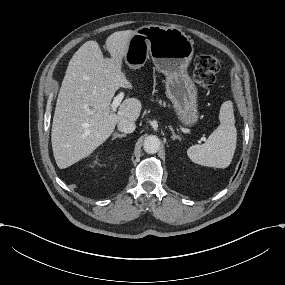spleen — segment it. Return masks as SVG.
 Masks as SVG:
<instances>
[{
  "label": "spleen",
  "mask_w": 285,
  "mask_h": 285,
  "mask_svg": "<svg viewBox=\"0 0 285 285\" xmlns=\"http://www.w3.org/2000/svg\"><path fill=\"white\" fill-rule=\"evenodd\" d=\"M220 125L211 133L206 143L188 148L187 155L196 164L227 168L234 156L237 130L232 101L222 103L219 113Z\"/></svg>",
  "instance_id": "3e777b00"
}]
</instances>
